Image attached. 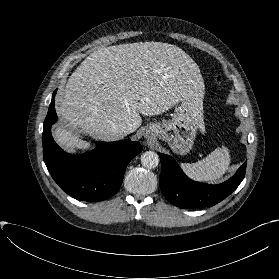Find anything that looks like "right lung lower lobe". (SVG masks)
<instances>
[{
    "label": "right lung lower lobe",
    "instance_id": "obj_1",
    "mask_svg": "<svg viewBox=\"0 0 279 279\" xmlns=\"http://www.w3.org/2000/svg\"><path fill=\"white\" fill-rule=\"evenodd\" d=\"M53 92L43 124V157L46 167L60 188L81 201H103L120 188L129 162L142 151L138 141L129 139L98 142L85 154L64 152L53 140L51 126L57 121Z\"/></svg>",
    "mask_w": 279,
    "mask_h": 279
}]
</instances>
